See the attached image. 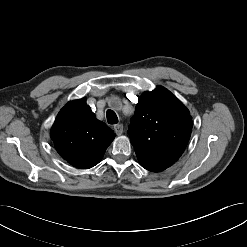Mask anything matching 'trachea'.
I'll list each match as a JSON object with an SVG mask.
<instances>
[{"label":"trachea","mask_w":247,"mask_h":247,"mask_svg":"<svg viewBox=\"0 0 247 247\" xmlns=\"http://www.w3.org/2000/svg\"><path fill=\"white\" fill-rule=\"evenodd\" d=\"M106 116H107V121L109 124H117L118 123V117L113 110H107Z\"/></svg>","instance_id":"1"}]
</instances>
